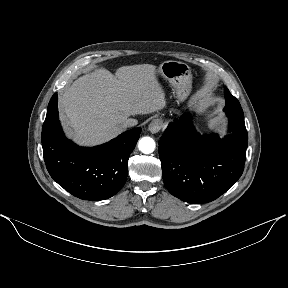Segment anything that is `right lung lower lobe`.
Instances as JSON below:
<instances>
[{"mask_svg":"<svg viewBox=\"0 0 288 288\" xmlns=\"http://www.w3.org/2000/svg\"><path fill=\"white\" fill-rule=\"evenodd\" d=\"M57 101L55 93L42 128L43 154L50 176L80 199L112 197L126 182L128 158L139 139L141 128L126 131L101 146L79 147L61 130Z\"/></svg>","mask_w":288,"mask_h":288,"instance_id":"right-lung-lower-lobe-1","label":"right lung lower lobe"}]
</instances>
